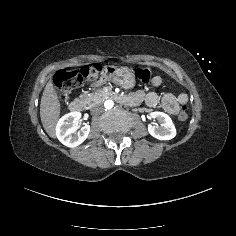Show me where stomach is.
<instances>
[{
	"instance_id": "0dacf381",
	"label": "stomach",
	"mask_w": 236,
	"mask_h": 236,
	"mask_svg": "<svg viewBox=\"0 0 236 236\" xmlns=\"http://www.w3.org/2000/svg\"><path fill=\"white\" fill-rule=\"evenodd\" d=\"M107 81L119 85L123 89H132L136 85V76L132 69L124 67H108Z\"/></svg>"
}]
</instances>
